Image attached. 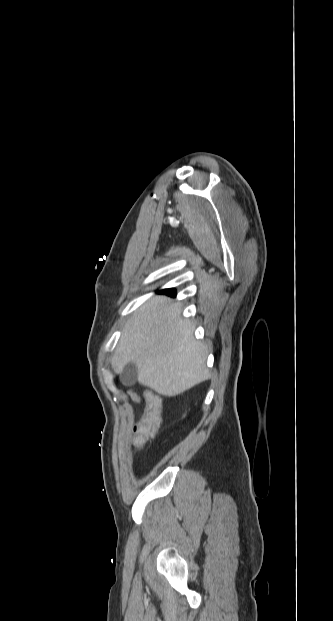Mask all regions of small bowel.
Returning a JSON list of instances; mask_svg holds the SVG:
<instances>
[{"mask_svg": "<svg viewBox=\"0 0 333 621\" xmlns=\"http://www.w3.org/2000/svg\"><path fill=\"white\" fill-rule=\"evenodd\" d=\"M150 393H151V392H147V393L145 394V397H146L147 401H148V396H149V394H150ZM130 396H131V398H132L134 401H136V402H139V401H140V398H139V397H138V395H136L135 393L130 392Z\"/></svg>", "mask_w": 333, "mask_h": 621, "instance_id": "c3829d8e", "label": "small bowel"}]
</instances>
